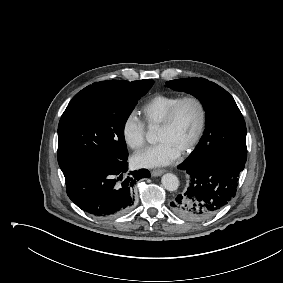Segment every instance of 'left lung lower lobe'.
<instances>
[{
  "label": "left lung lower lobe",
  "instance_id": "1",
  "mask_svg": "<svg viewBox=\"0 0 283 283\" xmlns=\"http://www.w3.org/2000/svg\"><path fill=\"white\" fill-rule=\"evenodd\" d=\"M244 166L232 159H213L194 166L182 163L178 168L188 173L189 185L170 203L172 211L189 221L209 219L236 195Z\"/></svg>",
  "mask_w": 283,
  "mask_h": 283
}]
</instances>
